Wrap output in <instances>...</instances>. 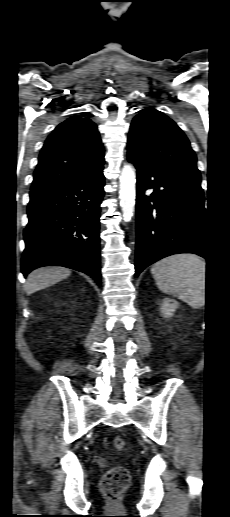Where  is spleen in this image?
Listing matches in <instances>:
<instances>
[{"label":"spleen","instance_id":"spleen-1","mask_svg":"<svg viewBox=\"0 0 230 517\" xmlns=\"http://www.w3.org/2000/svg\"><path fill=\"white\" fill-rule=\"evenodd\" d=\"M158 288L178 297L194 309L205 304L206 263L193 254H178L160 260L151 268Z\"/></svg>","mask_w":230,"mask_h":517}]
</instances>
